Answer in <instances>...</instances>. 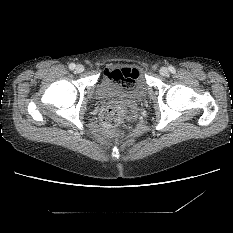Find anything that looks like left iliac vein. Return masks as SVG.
Listing matches in <instances>:
<instances>
[{
    "mask_svg": "<svg viewBox=\"0 0 233 233\" xmlns=\"http://www.w3.org/2000/svg\"><path fill=\"white\" fill-rule=\"evenodd\" d=\"M159 72L162 76H167L169 74V71L166 67H161Z\"/></svg>",
    "mask_w": 233,
    "mask_h": 233,
    "instance_id": "4c4485c4",
    "label": "left iliac vein"
}]
</instances>
